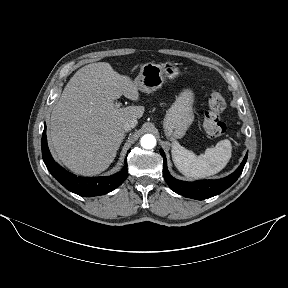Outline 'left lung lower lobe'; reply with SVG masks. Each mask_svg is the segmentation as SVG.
Instances as JSON below:
<instances>
[{
	"label": "left lung lower lobe",
	"instance_id": "0a47b994",
	"mask_svg": "<svg viewBox=\"0 0 288 288\" xmlns=\"http://www.w3.org/2000/svg\"><path fill=\"white\" fill-rule=\"evenodd\" d=\"M160 154L164 159L163 175L169 187L179 195L197 200H204L213 197L229 188L241 175L247 161L246 154L240 166L232 174L225 178L219 180H200L195 182H185L178 180L170 175L167 169L166 156L162 149H160Z\"/></svg>",
	"mask_w": 288,
	"mask_h": 288
}]
</instances>
